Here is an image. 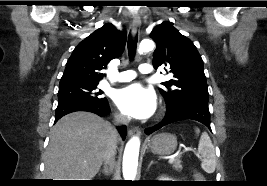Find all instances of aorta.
I'll use <instances>...</instances> for the list:
<instances>
[{
	"instance_id": "obj_1",
	"label": "aorta",
	"mask_w": 267,
	"mask_h": 186,
	"mask_svg": "<svg viewBox=\"0 0 267 186\" xmlns=\"http://www.w3.org/2000/svg\"><path fill=\"white\" fill-rule=\"evenodd\" d=\"M154 49V42L150 39L142 40L139 46V52H149ZM140 148V139L136 136L132 137L126 144L122 172L124 180H134L137 173L138 156Z\"/></svg>"
}]
</instances>
